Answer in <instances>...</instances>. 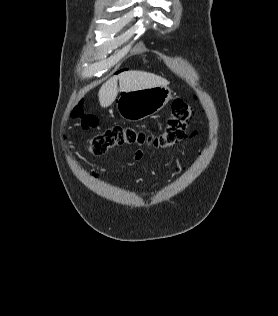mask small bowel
Segmentation results:
<instances>
[{
  "instance_id": "obj_1",
  "label": "small bowel",
  "mask_w": 278,
  "mask_h": 316,
  "mask_svg": "<svg viewBox=\"0 0 278 316\" xmlns=\"http://www.w3.org/2000/svg\"><path fill=\"white\" fill-rule=\"evenodd\" d=\"M142 156H143L142 150H138V151H136L134 158H135L136 160H138V159H140ZM99 171H100V170H98L97 172H99Z\"/></svg>"
}]
</instances>
